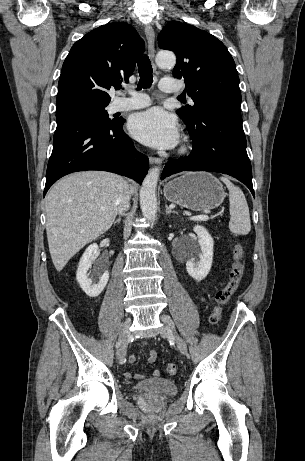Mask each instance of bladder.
Instances as JSON below:
<instances>
[{
    "label": "bladder",
    "instance_id": "bladder-1",
    "mask_svg": "<svg viewBox=\"0 0 305 461\" xmlns=\"http://www.w3.org/2000/svg\"><path fill=\"white\" fill-rule=\"evenodd\" d=\"M135 389L145 394L174 395L177 393V385L171 379L154 378L141 381L135 385Z\"/></svg>",
    "mask_w": 305,
    "mask_h": 461
}]
</instances>
